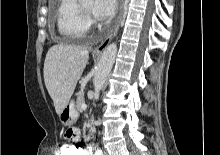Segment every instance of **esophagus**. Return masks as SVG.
Returning a JSON list of instances; mask_svg holds the SVG:
<instances>
[{
	"mask_svg": "<svg viewBox=\"0 0 220 155\" xmlns=\"http://www.w3.org/2000/svg\"><path fill=\"white\" fill-rule=\"evenodd\" d=\"M124 5H125V0H120V10H119V15H118L116 24H115L113 30L111 31V33L107 36V38L99 46H97L94 49V53H101L102 51H104L106 49V47L109 45V43L111 42V40L115 37V35L119 29L120 22L122 20Z\"/></svg>",
	"mask_w": 220,
	"mask_h": 155,
	"instance_id": "1",
	"label": "esophagus"
}]
</instances>
